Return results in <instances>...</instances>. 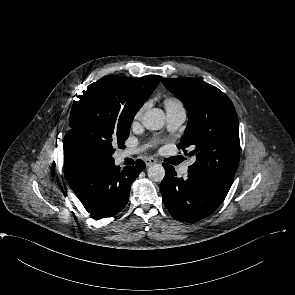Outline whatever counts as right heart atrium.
<instances>
[{
    "instance_id": "1",
    "label": "right heart atrium",
    "mask_w": 295,
    "mask_h": 295,
    "mask_svg": "<svg viewBox=\"0 0 295 295\" xmlns=\"http://www.w3.org/2000/svg\"><path fill=\"white\" fill-rule=\"evenodd\" d=\"M149 102H145L135 113L134 115V120H139L142 116V114L144 113V111L146 110V108L148 107Z\"/></svg>"
}]
</instances>
